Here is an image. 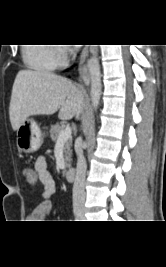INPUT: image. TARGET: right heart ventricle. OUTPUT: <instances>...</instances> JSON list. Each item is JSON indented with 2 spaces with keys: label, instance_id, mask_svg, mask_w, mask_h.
<instances>
[{
  "label": "right heart ventricle",
  "instance_id": "obj_1",
  "mask_svg": "<svg viewBox=\"0 0 166 267\" xmlns=\"http://www.w3.org/2000/svg\"><path fill=\"white\" fill-rule=\"evenodd\" d=\"M22 59L28 68L38 72H51L60 64L56 51L39 43L23 46Z\"/></svg>",
  "mask_w": 166,
  "mask_h": 267
}]
</instances>
